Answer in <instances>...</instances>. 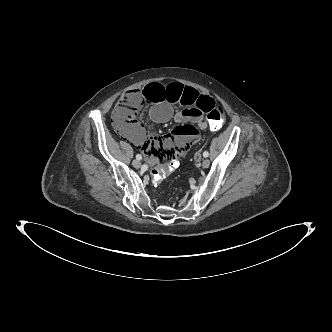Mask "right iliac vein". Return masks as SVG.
Returning <instances> with one entry per match:
<instances>
[{
    "label": "right iliac vein",
    "mask_w": 332,
    "mask_h": 332,
    "mask_svg": "<svg viewBox=\"0 0 332 332\" xmlns=\"http://www.w3.org/2000/svg\"><path fill=\"white\" fill-rule=\"evenodd\" d=\"M132 165L135 167V168H140L141 167V162L139 160H134L132 162Z\"/></svg>",
    "instance_id": "obj_1"
}]
</instances>
